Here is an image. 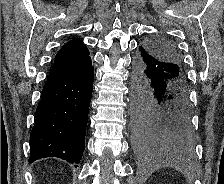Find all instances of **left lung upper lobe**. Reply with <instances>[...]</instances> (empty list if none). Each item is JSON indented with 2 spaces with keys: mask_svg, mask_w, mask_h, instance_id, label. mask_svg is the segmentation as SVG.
Wrapping results in <instances>:
<instances>
[{
  "mask_svg": "<svg viewBox=\"0 0 224 184\" xmlns=\"http://www.w3.org/2000/svg\"><path fill=\"white\" fill-rule=\"evenodd\" d=\"M143 47H145L155 58L167 63L178 65L182 68L181 57L177 48L169 39L153 38L145 42Z\"/></svg>",
  "mask_w": 224,
  "mask_h": 184,
  "instance_id": "5c2ea615",
  "label": "left lung upper lobe"
}]
</instances>
